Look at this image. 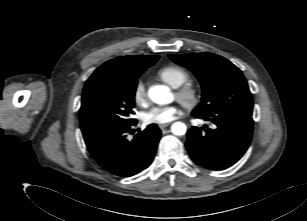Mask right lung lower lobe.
<instances>
[{
  "instance_id": "obj_1",
  "label": "right lung lower lobe",
  "mask_w": 307,
  "mask_h": 221,
  "mask_svg": "<svg viewBox=\"0 0 307 221\" xmlns=\"http://www.w3.org/2000/svg\"><path fill=\"white\" fill-rule=\"evenodd\" d=\"M136 123L109 130L86 143L97 163L115 176H133L146 169L154 158L161 131L152 124L128 141L126 133Z\"/></svg>"
}]
</instances>
